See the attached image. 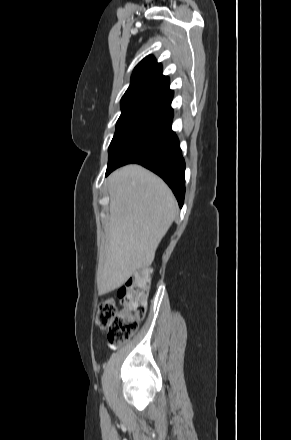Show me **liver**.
I'll return each mask as SVG.
<instances>
[{"mask_svg":"<svg viewBox=\"0 0 291 440\" xmlns=\"http://www.w3.org/2000/svg\"><path fill=\"white\" fill-rule=\"evenodd\" d=\"M108 190L110 218L100 294L121 287L137 269L151 265L177 211L166 183L140 165L114 171Z\"/></svg>","mask_w":291,"mask_h":440,"instance_id":"1","label":"liver"}]
</instances>
